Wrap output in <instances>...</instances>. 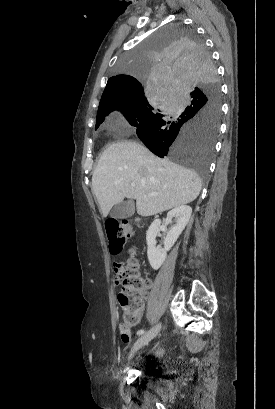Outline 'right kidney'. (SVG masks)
I'll return each mask as SVG.
<instances>
[{"instance_id":"right-kidney-1","label":"right kidney","mask_w":275,"mask_h":409,"mask_svg":"<svg viewBox=\"0 0 275 409\" xmlns=\"http://www.w3.org/2000/svg\"><path fill=\"white\" fill-rule=\"evenodd\" d=\"M191 213V207H188V205H181V207H176V209L169 211L166 219H163V221L156 219V221H153L152 225H150L146 233V241L148 245L147 257L154 271H158V269L162 267L167 257V251H170L171 247L175 245L179 235H181L182 231H184L187 223H189ZM172 219H175L176 225H173L170 231H168L164 241V249H161V247H156V237L159 235L161 227H166V225H169Z\"/></svg>"}]
</instances>
